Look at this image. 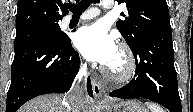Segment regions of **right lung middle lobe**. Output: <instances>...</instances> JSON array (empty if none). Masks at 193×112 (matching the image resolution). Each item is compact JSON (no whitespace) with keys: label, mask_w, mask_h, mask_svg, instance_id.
I'll return each instance as SVG.
<instances>
[{"label":"right lung middle lobe","mask_w":193,"mask_h":112,"mask_svg":"<svg viewBox=\"0 0 193 112\" xmlns=\"http://www.w3.org/2000/svg\"><path fill=\"white\" fill-rule=\"evenodd\" d=\"M47 36H55L61 41L69 40L60 30L59 24L35 26L17 31L14 40V50Z\"/></svg>","instance_id":"dd1d6c3e"}]
</instances>
